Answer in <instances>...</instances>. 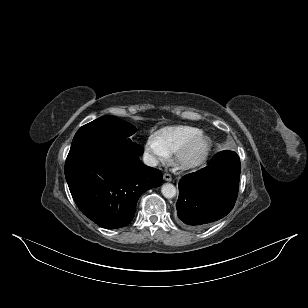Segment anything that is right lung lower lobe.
Listing matches in <instances>:
<instances>
[{"mask_svg": "<svg viewBox=\"0 0 308 308\" xmlns=\"http://www.w3.org/2000/svg\"><path fill=\"white\" fill-rule=\"evenodd\" d=\"M65 177L82 213L107 229L128 225L140 195L162 183L161 171L145 166L134 150L114 145L70 150Z\"/></svg>", "mask_w": 308, "mask_h": 308, "instance_id": "right-lung-lower-lobe-1", "label": "right lung lower lobe"}]
</instances>
